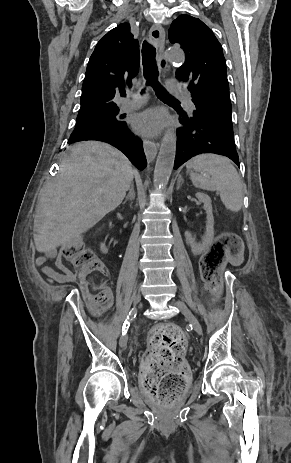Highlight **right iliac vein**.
Wrapping results in <instances>:
<instances>
[{
	"mask_svg": "<svg viewBox=\"0 0 291 463\" xmlns=\"http://www.w3.org/2000/svg\"><path fill=\"white\" fill-rule=\"evenodd\" d=\"M140 300H141V294L139 293V291H136L134 299H133V305L134 306L137 305L140 302ZM127 342H128V335L127 334L122 335L119 340L120 347L125 348L127 345Z\"/></svg>",
	"mask_w": 291,
	"mask_h": 463,
	"instance_id": "63e3f726",
	"label": "right iliac vein"
}]
</instances>
